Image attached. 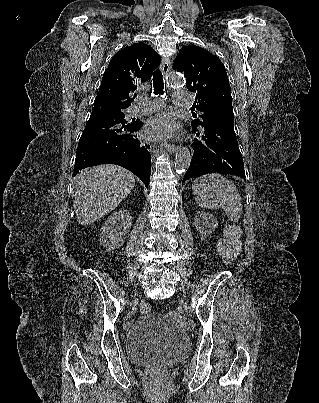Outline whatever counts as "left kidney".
<instances>
[{
	"instance_id": "obj_1",
	"label": "left kidney",
	"mask_w": 319,
	"mask_h": 403,
	"mask_svg": "<svg viewBox=\"0 0 319 403\" xmlns=\"http://www.w3.org/2000/svg\"><path fill=\"white\" fill-rule=\"evenodd\" d=\"M216 225V219L208 212H200L195 217V227L201 234V239H206L207 235L215 230Z\"/></svg>"
}]
</instances>
